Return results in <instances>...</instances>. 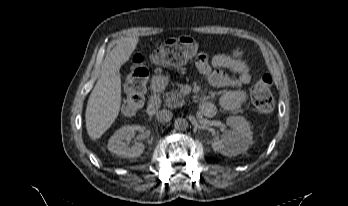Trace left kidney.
<instances>
[{
  "instance_id": "1",
  "label": "left kidney",
  "mask_w": 348,
  "mask_h": 206,
  "mask_svg": "<svg viewBox=\"0 0 348 206\" xmlns=\"http://www.w3.org/2000/svg\"><path fill=\"white\" fill-rule=\"evenodd\" d=\"M230 131H226L221 139L215 138L211 146L215 152L224 156H236L249 148L253 142L250 125L244 117L231 116L226 120Z\"/></svg>"
}]
</instances>
